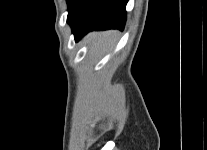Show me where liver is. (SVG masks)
<instances>
[{
    "label": "liver",
    "instance_id": "liver-1",
    "mask_svg": "<svg viewBox=\"0 0 207 150\" xmlns=\"http://www.w3.org/2000/svg\"><path fill=\"white\" fill-rule=\"evenodd\" d=\"M115 35V31L91 33L86 37V41L91 44L90 50L98 54L112 47ZM77 106L88 118L97 117L105 111L101 94L93 87H85L80 91Z\"/></svg>",
    "mask_w": 207,
    "mask_h": 150
}]
</instances>
